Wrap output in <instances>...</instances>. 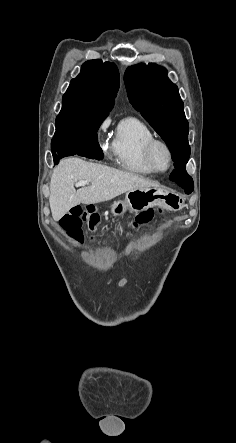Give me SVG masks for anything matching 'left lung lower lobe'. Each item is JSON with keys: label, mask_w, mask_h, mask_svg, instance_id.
I'll return each instance as SVG.
<instances>
[{"label": "left lung lower lobe", "mask_w": 236, "mask_h": 443, "mask_svg": "<svg viewBox=\"0 0 236 443\" xmlns=\"http://www.w3.org/2000/svg\"><path fill=\"white\" fill-rule=\"evenodd\" d=\"M170 179L182 187L186 194H190L194 189L193 180L186 172L185 167L176 168L171 173Z\"/></svg>", "instance_id": "0a47b994"}]
</instances>
